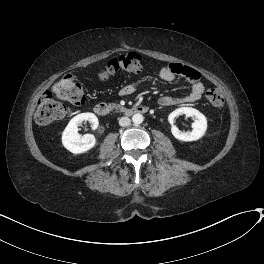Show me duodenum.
<instances>
[{"label": "duodenum", "instance_id": "1", "mask_svg": "<svg viewBox=\"0 0 264 264\" xmlns=\"http://www.w3.org/2000/svg\"><path fill=\"white\" fill-rule=\"evenodd\" d=\"M94 110L99 116H106L109 114L108 104L105 102H99L95 105ZM149 111V107L144 105H135L124 107L122 113L125 116H132L135 114H146Z\"/></svg>", "mask_w": 264, "mask_h": 264}]
</instances>
